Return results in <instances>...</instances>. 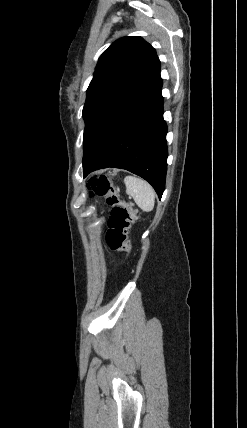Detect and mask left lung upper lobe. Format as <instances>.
Wrapping results in <instances>:
<instances>
[{
    "instance_id": "obj_1",
    "label": "left lung upper lobe",
    "mask_w": 247,
    "mask_h": 428,
    "mask_svg": "<svg viewBox=\"0 0 247 428\" xmlns=\"http://www.w3.org/2000/svg\"><path fill=\"white\" fill-rule=\"evenodd\" d=\"M160 67L155 49L138 36L120 38L102 53L83 107V160L105 123L125 102L154 82Z\"/></svg>"
}]
</instances>
